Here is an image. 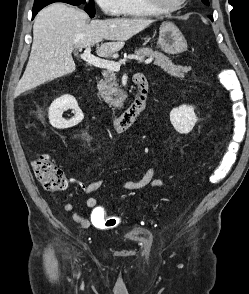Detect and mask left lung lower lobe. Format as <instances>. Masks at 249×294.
<instances>
[{
	"label": "left lung lower lobe",
	"instance_id": "0a47b994",
	"mask_svg": "<svg viewBox=\"0 0 249 294\" xmlns=\"http://www.w3.org/2000/svg\"><path fill=\"white\" fill-rule=\"evenodd\" d=\"M209 18L213 21V17L212 16H209Z\"/></svg>",
	"mask_w": 249,
	"mask_h": 294
}]
</instances>
